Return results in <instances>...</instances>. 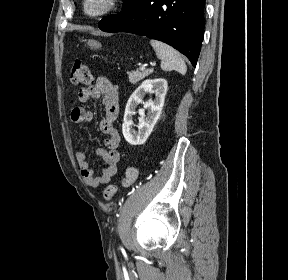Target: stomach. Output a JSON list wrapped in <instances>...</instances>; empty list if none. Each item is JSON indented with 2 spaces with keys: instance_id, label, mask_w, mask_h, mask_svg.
Masks as SVG:
<instances>
[{
  "instance_id": "1",
  "label": "stomach",
  "mask_w": 288,
  "mask_h": 280,
  "mask_svg": "<svg viewBox=\"0 0 288 280\" xmlns=\"http://www.w3.org/2000/svg\"><path fill=\"white\" fill-rule=\"evenodd\" d=\"M88 45L91 47V48H94V49H99L101 48V44L95 40H89L88 41Z\"/></svg>"
}]
</instances>
